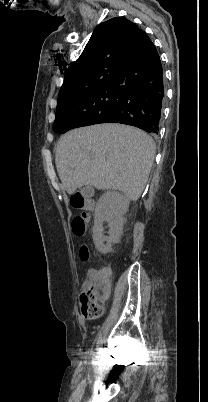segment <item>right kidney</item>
I'll return each mask as SVG.
<instances>
[{
	"label": "right kidney",
	"instance_id": "right-kidney-1",
	"mask_svg": "<svg viewBox=\"0 0 208 402\" xmlns=\"http://www.w3.org/2000/svg\"><path fill=\"white\" fill-rule=\"evenodd\" d=\"M130 200L119 192H105L99 198L94 212L93 240L101 254L110 252L111 244L119 242ZM103 222H108L109 236H103ZM107 242V244H104Z\"/></svg>",
	"mask_w": 208,
	"mask_h": 402
}]
</instances>
